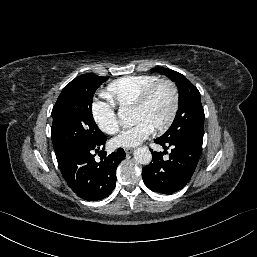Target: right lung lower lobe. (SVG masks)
Masks as SVG:
<instances>
[{"label":"right lung lower lobe","mask_w":257,"mask_h":257,"mask_svg":"<svg viewBox=\"0 0 257 257\" xmlns=\"http://www.w3.org/2000/svg\"><path fill=\"white\" fill-rule=\"evenodd\" d=\"M107 137L95 147L72 148L57 157L60 171L68 186L87 201L101 200L111 194L116 185V168L125 158L122 148L110 155L103 154L96 162L94 152L104 148Z\"/></svg>","instance_id":"98d812e1"}]
</instances>
